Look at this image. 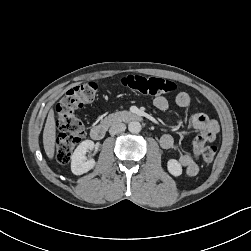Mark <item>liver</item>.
Here are the masks:
<instances>
[{"mask_svg": "<svg viewBox=\"0 0 251 251\" xmlns=\"http://www.w3.org/2000/svg\"><path fill=\"white\" fill-rule=\"evenodd\" d=\"M55 137H56L55 118H54V111L53 109H51L48 113L43 131L44 150L47 157L51 160L53 159L55 152Z\"/></svg>", "mask_w": 251, "mask_h": 251, "instance_id": "obj_1", "label": "liver"}]
</instances>
